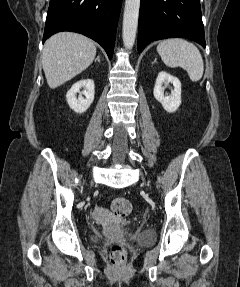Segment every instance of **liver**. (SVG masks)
Instances as JSON below:
<instances>
[{
  "instance_id": "6515ba94",
  "label": "liver",
  "mask_w": 240,
  "mask_h": 287,
  "mask_svg": "<svg viewBox=\"0 0 240 287\" xmlns=\"http://www.w3.org/2000/svg\"><path fill=\"white\" fill-rule=\"evenodd\" d=\"M96 55L94 42L72 32H61L50 37L43 49L42 67L47 84L55 89L84 71Z\"/></svg>"
}]
</instances>
